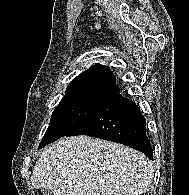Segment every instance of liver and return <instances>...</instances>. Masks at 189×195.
Here are the masks:
<instances>
[{"label":"liver","mask_w":189,"mask_h":195,"mask_svg":"<svg viewBox=\"0 0 189 195\" xmlns=\"http://www.w3.org/2000/svg\"><path fill=\"white\" fill-rule=\"evenodd\" d=\"M153 175V164L137 150L75 136L43 150L31 184L54 195H140L151 187Z\"/></svg>","instance_id":"liver-1"}]
</instances>
